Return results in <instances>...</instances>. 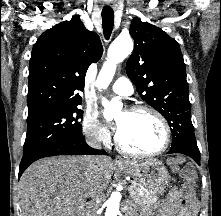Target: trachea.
I'll return each instance as SVG.
<instances>
[{"label": "trachea", "mask_w": 221, "mask_h": 216, "mask_svg": "<svg viewBox=\"0 0 221 216\" xmlns=\"http://www.w3.org/2000/svg\"><path fill=\"white\" fill-rule=\"evenodd\" d=\"M102 24L103 33L106 39H109L114 25V12L113 10H103L102 11Z\"/></svg>", "instance_id": "obj_1"}]
</instances>
